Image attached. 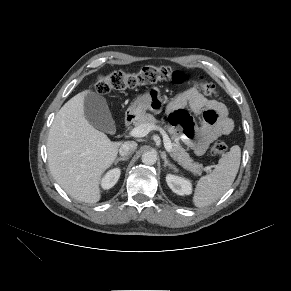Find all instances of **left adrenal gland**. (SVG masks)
Returning a JSON list of instances; mask_svg holds the SVG:
<instances>
[{"instance_id":"1","label":"left adrenal gland","mask_w":291,"mask_h":291,"mask_svg":"<svg viewBox=\"0 0 291 291\" xmlns=\"http://www.w3.org/2000/svg\"><path fill=\"white\" fill-rule=\"evenodd\" d=\"M166 156H167V155H166L165 152H163V153L161 154V157H162V159L164 160V167L169 166V168H171V169H175V165L172 164V163H170V161L167 159Z\"/></svg>"}]
</instances>
